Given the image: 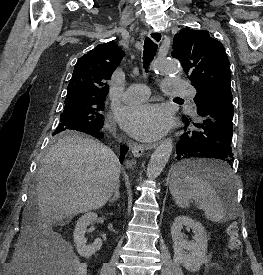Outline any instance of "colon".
Here are the masks:
<instances>
[{
	"label": "colon",
	"instance_id": "colon-1",
	"mask_svg": "<svg viewBox=\"0 0 263 275\" xmlns=\"http://www.w3.org/2000/svg\"><path fill=\"white\" fill-rule=\"evenodd\" d=\"M229 248L236 250L240 246L238 229L235 225L227 227ZM50 253L53 256L54 272L53 275H84V265L73 258L68 257L59 249L52 247Z\"/></svg>",
	"mask_w": 263,
	"mask_h": 275
}]
</instances>
